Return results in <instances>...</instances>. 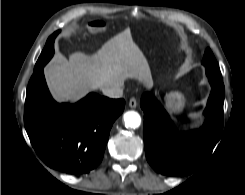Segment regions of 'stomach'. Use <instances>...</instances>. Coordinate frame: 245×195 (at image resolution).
I'll return each mask as SVG.
<instances>
[{
    "label": "stomach",
    "mask_w": 245,
    "mask_h": 195,
    "mask_svg": "<svg viewBox=\"0 0 245 195\" xmlns=\"http://www.w3.org/2000/svg\"><path fill=\"white\" fill-rule=\"evenodd\" d=\"M164 100L166 108L175 114L180 113L185 106L184 96L180 92H170L165 96Z\"/></svg>",
    "instance_id": "1"
}]
</instances>
